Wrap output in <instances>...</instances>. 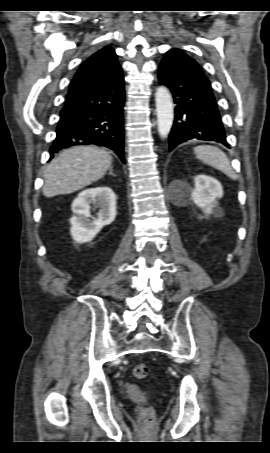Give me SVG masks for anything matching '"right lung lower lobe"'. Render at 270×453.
<instances>
[{"label": "right lung lower lobe", "instance_id": "obj_1", "mask_svg": "<svg viewBox=\"0 0 270 453\" xmlns=\"http://www.w3.org/2000/svg\"><path fill=\"white\" fill-rule=\"evenodd\" d=\"M123 106L122 71L95 88L69 92L50 147V160L64 148L95 144L112 149L124 162Z\"/></svg>", "mask_w": 270, "mask_h": 453}]
</instances>
